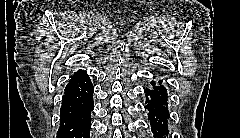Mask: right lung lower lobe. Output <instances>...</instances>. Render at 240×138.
Here are the masks:
<instances>
[{
    "label": "right lung lower lobe",
    "mask_w": 240,
    "mask_h": 138,
    "mask_svg": "<svg viewBox=\"0 0 240 138\" xmlns=\"http://www.w3.org/2000/svg\"><path fill=\"white\" fill-rule=\"evenodd\" d=\"M93 92V84L87 74L70 79L62 99L57 138L90 137Z\"/></svg>",
    "instance_id": "1"
}]
</instances>
